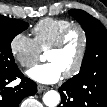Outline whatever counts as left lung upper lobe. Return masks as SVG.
<instances>
[{
	"instance_id": "left-lung-upper-lobe-1",
	"label": "left lung upper lobe",
	"mask_w": 107,
	"mask_h": 107,
	"mask_svg": "<svg viewBox=\"0 0 107 107\" xmlns=\"http://www.w3.org/2000/svg\"><path fill=\"white\" fill-rule=\"evenodd\" d=\"M69 14L80 23L87 38L86 53L80 72L69 81L74 84L82 83L80 91L85 93L86 89H82L83 81L94 75L107 77V30L99 20L83 10L72 9ZM75 97L66 100L68 107H81V96L76 94Z\"/></svg>"
}]
</instances>
